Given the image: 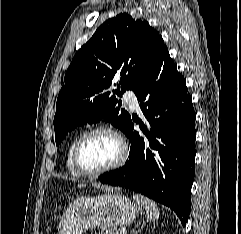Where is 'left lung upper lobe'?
I'll return each mask as SVG.
<instances>
[{"instance_id": "obj_1", "label": "left lung upper lobe", "mask_w": 241, "mask_h": 234, "mask_svg": "<svg viewBox=\"0 0 241 234\" xmlns=\"http://www.w3.org/2000/svg\"><path fill=\"white\" fill-rule=\"evenodd\" d=\"M164 48L162 37L145 20L121 13L104 22L65 74L54 116L56 145L76 127L101 119L125 133L131 116L117 107L119 101L107 89L114 79L115 94L133 90Z\"/></svg>"}]
</instances>
